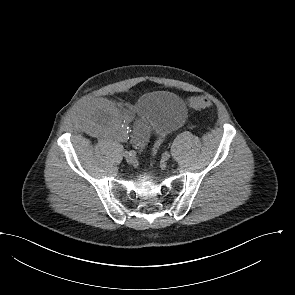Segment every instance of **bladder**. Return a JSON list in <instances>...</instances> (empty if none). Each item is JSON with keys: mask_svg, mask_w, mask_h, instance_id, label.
Masks as SVG:
<instances>
[{"mask_svg": "<svg viewBox=\"0 0 295 295\" xmlns=\"http://www.w3.org/2000/svg\"><path fill=\"white\" fill-rule=\"evenodd\" d=\"M137 114L152 129L167 134L183 124L187 107L184 101L169 91H151L144 94L137 104Z\"/></svg>", "mask_w": 295, "mask_h": 295, "instance_id": "31cf9c89", "label": "bladder"}]
</instances>
